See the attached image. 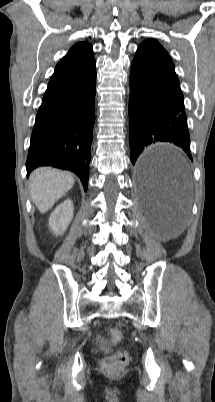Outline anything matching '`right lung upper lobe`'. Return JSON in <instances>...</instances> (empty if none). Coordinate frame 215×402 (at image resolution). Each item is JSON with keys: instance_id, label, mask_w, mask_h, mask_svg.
Segmentation results:
<instances>
[{"instance_id": "cb5924a9", "label": "right lung upper lobe", "mask_w": 215, "mask_h": 402, "mask_svg": "<svg viewBox=\"0 0 215 402\" xmlns=\"http://www.w3.org/2000/svg\"><path fill=\"white\" fill-rule=\"evenodd\" d=\"M94 74L92 46L85 41L76 43L55 67L42 101L82 85Z\"/></svg>"}]
</instances>
